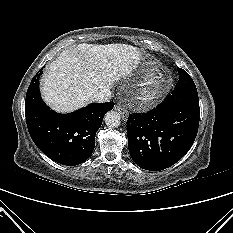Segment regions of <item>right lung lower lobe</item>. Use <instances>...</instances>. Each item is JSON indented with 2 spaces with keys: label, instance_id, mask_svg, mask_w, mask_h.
<instances>
[{
  "label": "right lung lower lobe",
  "instance_id": "98d812e1",
  "mask_svg": "<svg viewBox=\"0 0 233 233\" xmlns=\"http://www.w3.org/2000/svg\"><path fill=\"white\" fill-rule=\"evenodd\" d=\"M32 78L25 99L28 131L36 146L50 159L63 165L86 161L95 147V135L114 102L92 103L70 114L51 110L41 99L39 79Z\"/></svg>",
  "mask_w": 233,
  "mask_h": 233
}]
</instances>
